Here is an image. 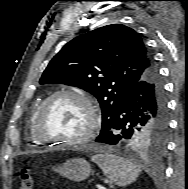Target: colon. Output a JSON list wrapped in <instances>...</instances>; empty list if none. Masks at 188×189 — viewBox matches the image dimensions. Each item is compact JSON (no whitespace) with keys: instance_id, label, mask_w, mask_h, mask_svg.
Segmentation results:
<instances>
[{"instance_id":"5ec220e1","label":"colon","mask_w":188,"mask_h":189,"mask_svg":"<svg viewBox=\"0 0 188 189\" xmlns=\"http://www.w3.org/2000/svg\"><path fill=\"white\" fill-rule=\"evenodd\" d=\"M19 189H33V177L30 170L26 167H23L20 170Z\"/></svg>"}]
</instances>
